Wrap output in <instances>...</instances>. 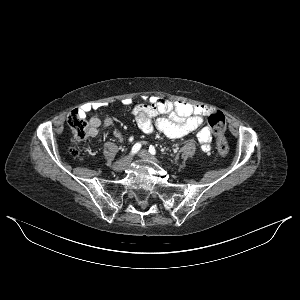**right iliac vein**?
Returning <instances> with one entry per match:
<instances>
[{
  "instance_id": "right-iliac-vein-1",
  "label": "right iliac vein",
  "mask_w": 300,
  "mask_h": 300,
  "mask_svg": "<svg viewBox=\"0 0 300 300\" xmlns=\"http://www.w3.org/2000/svg\"><path fill=\"white\" fill-rule=\"evenodd\" d=\"M130 161H131L130 156L124 157V158L118 160L117 162H115L114 165H113V168H114V170L121 172L124 169H126L128 164L130 163Z\"/></svg>"
}]
</instances>
